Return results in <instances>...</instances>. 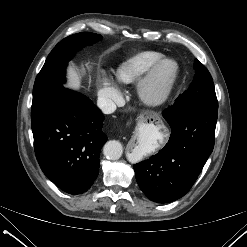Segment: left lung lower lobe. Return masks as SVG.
<instances>
[{
	"instance_id": "0a47b994",
	"label": "left lung lower lobe",
	"mask_w": 247,
	"mask_h": 247,
	"mask_svg": "<svg viewBox=\"0 0 247 247\" xmlns=\"http://www.w3.org/2000/svg\"><path fill=\"white\" fill-rule=\"evenodd\" d=\"M217 110L189 99L163 111L172 130L168 143L134 165L137 183L150 200L172 202L191 189L214 147Z\"/></svg>"
}]
</instances>
